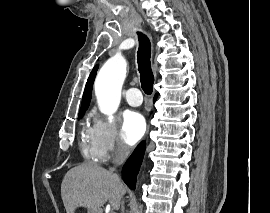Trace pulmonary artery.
<instances>
[{"instance_id": "pulmonary-artery-1", "label": "pulmonary artery", "mask_w": 270, "mask_h": 213, "mask_svg": "<svg viewBox=\"0 0 270 213\" xmlns=\"http://www.w3.org/2000/svg\"><path fill=\"white\" fill-rule=\"evenodd\" d=\"M126 101L131 106H139L142 103V94L137 88H130L125 93Z\"/></svg>"}]
</instances>
